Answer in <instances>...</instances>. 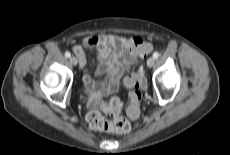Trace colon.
<instances>
[{
	"instance_id": "5ec220e1",
	"label": "colon",
	"mask_w": 230,
	"mask_h": 155,
	"mask_svg": "<svg viewBox=\"0 0 230 155\" xmlns=\"http://www.w3.org/2000/svg\"><path fill=\"white\" fill-rule=\"evenodd\" d=\"M152 50L150 43L144 42L138 37H134L130 51L137 55H144ZM127 80L130 83L131 91L129 93V102L127 105V114L131 119H137L141 113L142 92L141 88L144 85L143 77L140 73H130L127 75ZM120 101L117 98H112L109 101V108L116 112L119 110ZM87 122L92 129L98 131H108L115 133H128L131 130V123L123 118L116 116L112 120L106 119L100 112L92 111L87 116Z\"/></svg>"
}]
</instances>
